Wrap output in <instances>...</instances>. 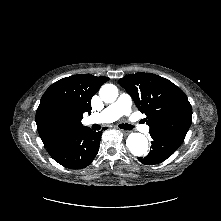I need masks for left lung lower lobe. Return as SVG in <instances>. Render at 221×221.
<instances>
[{
  "label": "left lung lower lobe",
  "mask_w": 221,
  "mask_h": 221,
  "mask_svg": "<svg viewBox=\"0 0 221 221\" xmlns=\"http://www.w3.org/2000/svg\"><path fill=\"white\" fill-rule=\"evenodd\" d=\"M152 142L150 153L146 157H139L138 160L146 165L159 164L169 158L182 144L172 138L159 133H150Z\"/></svg>",
  "instance_id": "1"
}]
</instances>
